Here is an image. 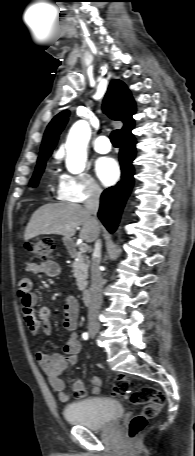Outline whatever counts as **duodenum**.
<instances>
[{
  "label": "duodenum",
  "mask_w": 195,
  "mask_h": 456,
  "mask_svg": "<svg viewBox=\"0 0 195 456\" xmlns=\"http://www.w3.org/2000/svg\"><path fill=\"white\" fill-rule=\"evenodd\" d=\"M66 247L70 251H72V252L74 251V245H73L72 241L68 240L66 242ZM82 301H83V303L85 305H89L90 304V302H91V292H90V290H88V289L83 290V292H82Z\"/></svg>",
  "instance_id": "duodenum-1"
}]
</instances>
